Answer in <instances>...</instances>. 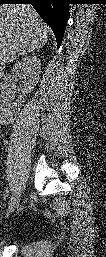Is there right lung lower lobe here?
I'll use <instances>...</instances> for the list:
<instances>
[{
	"label": "right lung lower lobe",
	"mask_w": 106,
	"mask_h": 257,
	"mask_svg": "<svg viewBox=\"0 0 106 257\" xmlns=\"http://www.w3.org/2000/svg\"><path fill=\"white\" fill-rule=\"evenodd\" d=\"M0 3L32 4L41 18L51 27L59 47L67 25L71 0H0Z\"/></svg>",
	"instance_id": "1"
}]
</instances>
